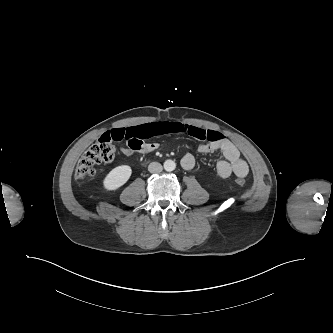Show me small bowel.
<instances>
[{
    "mask_svg": "<svg viewBox=\"0 0 333 333\" xmlns=\"http://www.w3.org/2000/svg\"><path fill=\"white\" fill-rule=\"evenodd\" d=\"M164 134H188L196 139L206 141L198 146L200 154H209L219 151L224 156L216 165V170L221 178H228L232 174L237 177H245L249 172L247 162L241 157L237 147L223 134L213 130L179 123V122H152L126 128H117L106 132L102 137L111 141H124L121 151L131 156L135 152L148 153L156 150L159 143L155 137ZM195 157L191 153L185 154L181 159V165L185 170H191L195 166Z\"/></svg>",
    "mask_w": 333,
    "mask_h": 333,
    "instance_id": "c3829d8e",
    "label": "small bowel"
}]
</instances>
